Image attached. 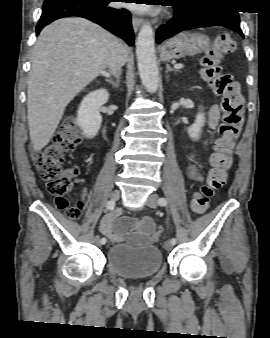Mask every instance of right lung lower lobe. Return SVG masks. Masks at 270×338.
<instances>
[{
    "label": "right lung lower lobe",
    "mask_w": 270,
    "mask_h": 338,
    "mask_svg": "<svg viewBox=\"0 0 270 338\" xmlns=\"http://www.w3.org/2000/svg\"><path fill=\"white\" fill-rule=\"evenodd\" d=\"M116 0H45L36 32L47 24L62 17L80 16L87 18L124 39L128 45L134 44L131 17L126 9L108 6Z\"/></svg>",
    "instance_id": "obj_1"
}]
</instances>
